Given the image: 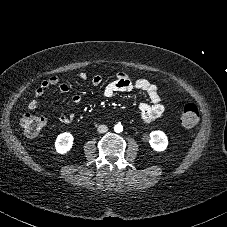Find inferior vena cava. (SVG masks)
Masks as SVG:
<instances>
[{"instance_id": "inferior-vena-cava-1", "label": "inferior vena cava", "mask_w": 227, "mask_h": 227, "mask_svg": "<svg viewBox=\"0 0 227 227\" xmlns=\"http://www.w3.org/2000/svg\"><path fill=\"white\" fill-rule=\"evenodd\" d=\"M97 131L99 133H105L108 131V127L106 125H99L98 128H97Z\"/></svg>"}]
</instances>
